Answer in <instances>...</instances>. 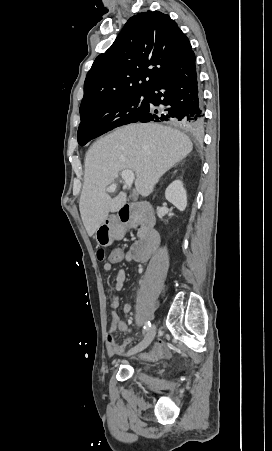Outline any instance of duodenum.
I'll return each instance as SVG.
<instances>
[{
	"instance_id": "410a0bca",
	"label": "duodenum",
	"mask_w": 272,
	"mask_h": 451,
	"mask_svg": "<svg viewBox=\"0 0 272 451\" xmlns=\"http://www.w3.org/2000/svg\"><path fill=\"white\" fill-rule=\"evenodd\" d=\"M120 227L112 233L115 238L123 235L127 227L142 225L144 234L140 241L129 250V256L135 261L145 262L156 251L159 245L160 236L155 230V219L151 207L146 203L126 204L119 210Z\"/></svg>"
}]
</instances>
